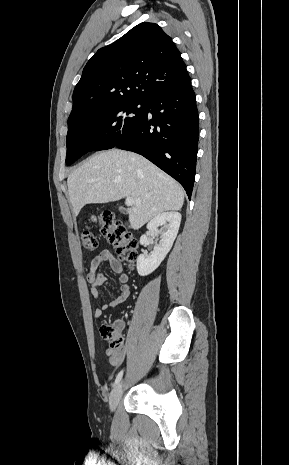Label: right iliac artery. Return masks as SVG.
Segmentation results:
<instances>
[{"mask_svg": "<svg viewBox=\"0 0 289 465\" xmlns=\"http://www.w3.org/2000/svg\"><path fill=\"white\" fill-rule=\"evenodd\" d=\"M122 376H123V370H121V371L118 373V375H117V377H116V379H115V381H114L113 386H116V385L120 382V380L122 379Z\"/></svg>", "mask_w": 289, "mask_h": 465, "instance_id": "obj_1", "label": "right iliac artery"}]
</instances>
